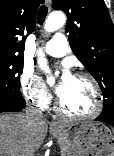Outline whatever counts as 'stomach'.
Here are the masks:
<instances>
[{"mask_svg":"<svg viewBox=\"0 0 114 156\" xmlns=\"http://www.w3.org/2000/svg\"><path fill=\"white\" fill-rule=\"evenodd\" d=\"M52 131L58 137L61 156H114V135L102 123L60 124Z\"/></svg>","mask_w":114,"mask_h":156,"instance_id":"stomach-1","label":"stomach"}]
</instances>
